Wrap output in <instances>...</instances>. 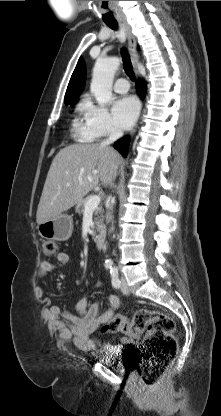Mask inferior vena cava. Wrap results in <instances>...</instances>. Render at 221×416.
<instances>
[{
	"mask_svg": "<svg viewBox=\"0 0 221 416\" xmlns=\"http://www.w3.org/2000/svg\"><path fill=\"white\" fill-rule=\"evenodd\" d=\"M123 135V132L119 128H111L109 132L108 138L103 140L101 142L102 147L109 148L113 150V148L110 147L112 143H114L118 138H120Z\"/></svg>",
	"mask_w": 221,
	"mask_h": 416,
	"instance_id": "obj_1",
	"label": "inferior vena cava"
}]
</instances>
